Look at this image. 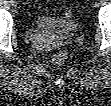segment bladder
Here are the masks:
<instances>
[{
	"label": "bladder",
	"instance_id": "obj_1",
	"mask_svg": "<svg viewBox=\"0 0 111 106\" xmlns=\"http://www.w3.org/2000/svg\"><path fill=\"white\" fill-rule=\"evenodd\" d=\"M36 24L46 30L56 33H69L77 29L78 24L73 19L59 20L40 15L36 18Z\"/></svg>",
	"mask_w": 111,
	"mask_h": 106
}]
</instances>
